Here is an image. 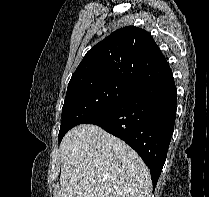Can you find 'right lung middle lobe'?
<instances>
[{
  "mask_svg": "<svg viewBox=\"0 0 209 197\" xmlns=\"http://www.w3.org/2000/svg\"><path fill=\"white\" fill-rule=\"evenodd\" d=\"M137 89L115 80H88L68 84L62 108L59 142L72 127L115 105Z\"/></svg>",
  "mask_w": 209,
  "mask_h": 197,
  "instance_id": "dd1d6c3e",
  "label": "right lung middle lobe"
}]
</instances>
